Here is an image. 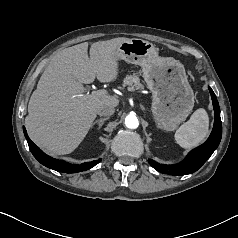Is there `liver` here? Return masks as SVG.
Returning <instances> with one entry per match:
<instances>
[{"label":"liver","instance_id":"6515ba94","mask_svg":"<svg viewBox=\"0 0 238 238\" xmlns=\"http://www.w3.org/2000/svg\"><path fill=\"white\" fill-rule=\"evenodd\" d=\"M128 38L119 37L91 44L84 42L58 51L44 70L28 103L26 128L32 141L46 152H73L87 135L99 106L116 107L110 95H81L83 84L112 82L118 75L117 48Z\"/></svg>","mask_w":238,"mask_h":238}]
</instances>
